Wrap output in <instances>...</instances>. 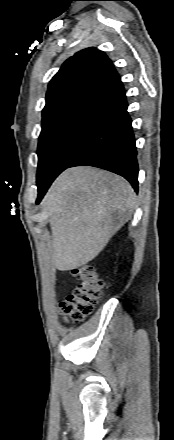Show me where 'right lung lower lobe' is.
I'll list each match as a JSON object with an SVG mask.
<instances>
[{
    "mask_svg": "<svg viewBox=\"0 0 174 440\" xmlns=\"http://www.w3.org/2000/svg\"><path fill=\"white\" fill-rule=\"evenodd\" d=\"M121 81L98 95L94 119L69 167L88 165L123 176L138 191V163L132 121ZM50 184L38 186L39 203Z\"/></svg>",
    "mask_w": 174,
    "mask_h": 440,
    "instance_id": "98d812e1",
    "label": "right lung lower lobe"
}]
</instances>
